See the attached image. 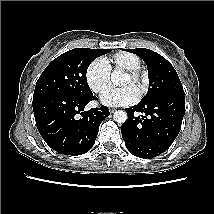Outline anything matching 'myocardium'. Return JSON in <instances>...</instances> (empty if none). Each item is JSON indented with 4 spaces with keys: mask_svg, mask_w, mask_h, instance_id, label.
I'll list each match as a JSON object with an SVG mask.
<instances>
[{
    "mask_svg": "<svg viewBox=\"0 0 214 214\" xmlns=\"http://www.w3.org/2000/svg\"><path fill=\"white\" fill-rule=\"evenodd\" d=\"M125 74L131 79L132 83L142 92L146 83V75L140 70L125 71Z\"/></svg>",
    "mask_w": 214,
    "mask_h": 214,
    "instance_id": "obj_1",
    "label": "myocardium"
}]
</instances>
